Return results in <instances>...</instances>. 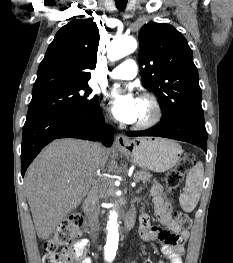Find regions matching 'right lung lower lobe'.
<instances>
[{
  "instance_id": "1",
  "label": "right lung lower lobe",
  "mask_w": 233,
  "mask_h": 263,
  "mask_svg": "<svg viewBox=\"0 0 233 263\" xmlns=\"http://www.w3.org/2000/svg\"><path fill=\"white\" fill-rule=\"evenodd\" d=\"M99 102L82 111L54 114L26 121L23 127L21 150L22 176L41 149L56 138L73 137L101 140L109 147L113 142L111 126H103Z\"/></svg>"
}]
</instances>
